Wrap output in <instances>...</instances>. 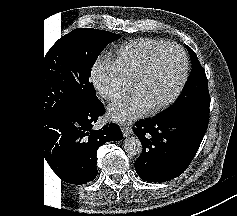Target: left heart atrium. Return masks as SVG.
Masks as SVG:
<instances>
[{
	"mask_svg": "<svg viewBox=\"0 0 237 216\" xmlns=\"http://www.w3.org/2000/svg\"><path fill=\"white\" fill-rule=\"evenodd\" d=\"M142 114V105L133 98L120 100L112 107V118L116 121L131 122Z\"/></svg>",
	"mask_w": 237,
	"mask_h": 216,
	"instance_id": "1",
	"label": "left heart atrium"
}]
</instances>
